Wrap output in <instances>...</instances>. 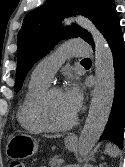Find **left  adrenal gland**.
I'll return each instance as SVG.
<instances>
[{
    "mask_svg": "<svg viewBox=\"0 0 125 167\" xmlns=\"http://www.w3.org/2000/svg\"><path fill=\"white\" fill-rule=\"evenodd\" d=\"M103 165L102 164H100L98 167H102Z\"/></svg>",
    "mask_w": 125,
    "mask_h": 167,
    "instance_id": "left-adrenal-gland-1",
    "label": "left adrenal gland"
}]
</instances>
